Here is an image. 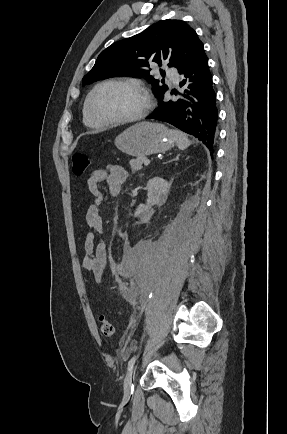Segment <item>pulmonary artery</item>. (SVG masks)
I'll list each match as a JSON object with an SVG mask.
<instances>
[{
  "mask_svg": "<svg viewBox=\"0 0 287 434\" xmlns=\"http://www.w3.org/2000/svg\"><path fill=\"white\" fill-rule=\"evenodd\" d=\"M166 74L174 84L178 83L179 76L174 69H167Z\"/></svg>",
  "mask_w": 287,
  "mask_h": 434,
  "instance_id": "e3ab8cb5",
  "label": "pulmonary artery"
}]
</instances>
